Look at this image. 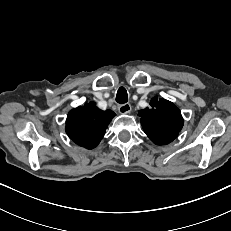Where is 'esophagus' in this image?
Returning a JSON list of instances; mask_svg holds the SVG:
<instances>
[{
	"instance_id": "34e87169",
	"label": "esophagus",
	"mask_w": 231,
	"mask_h": 231,
	"mask_svg": "<svg viewBox=\"0 0 231 231\" xmlns=\"http://www.w3.org/2000/svg\"><path fill=\"white\" fill-rule=\"evenodd\" d=\"M118 110L121 114H128L131 111V105L129 103L121 104L118 106Z\"/></svg>"
}]
</instances>
